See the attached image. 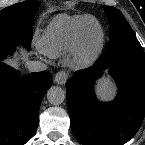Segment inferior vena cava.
<instances>
[{"mask_svg":"<svg viewBox=\"0 0 145 145\" xmlns=\"http://www.w3.org/2000/svg\"><path fill=\"white\" fill-rule=\"evenodd\" d=\"M27 68L30 72H39L46 70V64L42 61H28L27 62Z\"/></svg>","mask_w":145,"mask_h":145,"instance_id":"602c4592","label":"inferior vena cava"}]
</instances>
